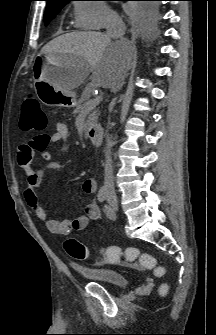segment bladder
I'll list each match as a JSON object with an SVG mask.
<instances>
[{
    "label": "bladder",
    "instance_id": "bladder-1",
    "mask_svg": "<svg viewBox=\"0 0 216 335\" xmlns=\"http://www.w3.org/2000/svg\"><path fill=\"white\" fill-rule=\"evenodd\" d=\"M75 271L88 280L112 287H125L128 283L124 273L113 268H96L76 266Z\"/></svg>",
    "mask_w": 216,
    "mask_h": 335
}]
</instances>
